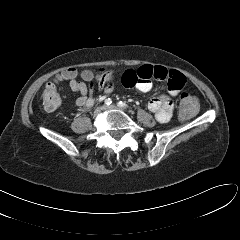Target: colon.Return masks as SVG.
<instances>
[{"instance_id":"obj_1","label":"colon","mask_w":240,"mask_h":240,"mask_svg":"<svg viewBox=\"0 0 240 240\" xmlns=\"http://www.w3.org/2000/svg\"><path fill=\"white\" fill-rule=\"evenodd\" d=\"M76 75L75 69H67L60 75V79H69ZM43 105L47 111L56 110L60 103L61 99L56 90L55 83H48L42 95ZM198 109L197 99L188 94L183 93L180 97V117L184 120L192 118Z\"/></svg>"}]
</instances>
